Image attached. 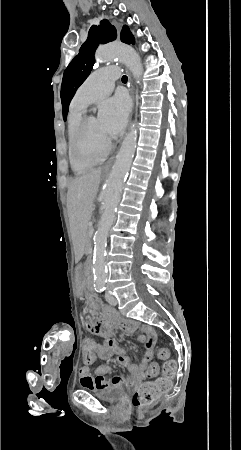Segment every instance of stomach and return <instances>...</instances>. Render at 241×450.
Returning a JSON list of instances; mask_svg holds the SVG:
<instances>
[{
	"mask_svg": "<svg viewBox=\"0 0 241 450\" xmlns=\"http://www.w3.org/2000/svg\"><path fill=\"white\" fill-rule=\"evenodd\" d=\"M85 275L81 265H78L75 272V285L79 291L83 290Z\"/></svg>",
	"mask_w": 241,
	"mask_h": 450,
	"instance_id": "0dacf381",
	"label": "stomach"
}]
</instances>
